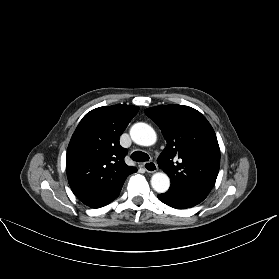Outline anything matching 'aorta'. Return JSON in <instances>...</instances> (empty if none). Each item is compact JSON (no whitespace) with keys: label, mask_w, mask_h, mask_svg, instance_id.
<instances>
[{"label":"aorta","mask_w":279,"mask_h":279,"mask_svg":"<svg viewBox=\"0 0 279 279\" xmlns=\"http://www.w3.org/2000/svg\"><path fill=\"white\" fill-rule=\"evenodd\" d=\"M130 136L136 144L142 146H151L157 139L154 129L142 122L136 123L131 127ZM151 186L156 192L164 193L170 187V179L163 172L155 173L151 178Z\"/></svg>","instance_id":"1"}]
</instances>
